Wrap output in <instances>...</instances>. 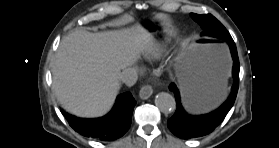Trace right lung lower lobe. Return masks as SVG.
Segmentation results:
<instances>
[{
  "mask_svg": "<svg viewBox=\"0 0 279 148\" xmlns=\"http://www.w3.org/2000/svg\"><path fill=\"white\" fill-rule=\"evenodd\" d=\"M136 102L130 92L121 94L112 111L96 119L78 118L61 111L69 125L83 136L101 141H112L123 136L130 128Z\"/></svg>",
  "mask_w": 279,
  "mask_h": 148,
  "instance_id": "1",
  "label": "right lung lower lobe"
}]
</instances>
